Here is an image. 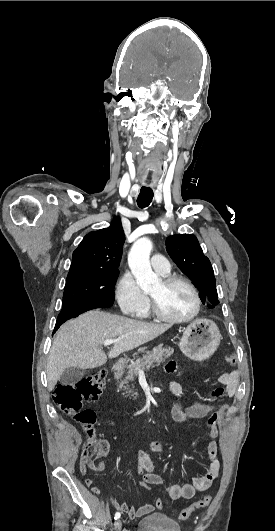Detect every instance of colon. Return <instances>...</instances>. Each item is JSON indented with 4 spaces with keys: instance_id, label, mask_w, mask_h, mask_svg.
Returning <instances> with one entry per match:
<instances>
[{
    "instance_id": "1",
    "label": "colon",
    "mask_w": 275,
    "mask_h": 531,
    "mask_svg": "<svg viewBox=\"0 0 275 531\" xmlns=\"http://www.w3.org/2000/svg\"><path fill=\"white\" fill-rule=\"evenodd\" d=\"M226 361L229 365L236 364L235 352H226ZM106 383V374L99 371L91 376L82 377L79 380L59 384L53 392L55 405L64 413L72 416L74 420L82 426L86 435V442L82 450L81 469L85 472L89 468L100 469L103 465V456L107 452V444L104 440L95 437L96 434V414L93 410L83 408L84 403L96 400ZM87 485L93 488V480L87 479ZM149 490V484L141 482L139 484ZM211 495H206L189 508L180 513L179 522L187 523L189 514L194 510H201L208 507L211 502ZM164 506L161 500L156 502V507L161 509Z\"/></svg>"
}]
</instances>
